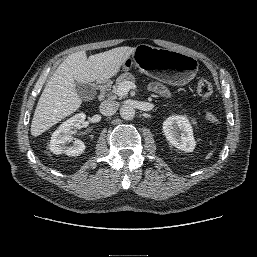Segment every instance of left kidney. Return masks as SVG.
<instances>
[{
  "label": "left kidney",
  "mask_w": 257,
  "mask_h": 257,
  "mask_svg": "<svg viewBox=\"0 0 257 257\" xmlns=\"http://www.w3.org/2000/svg\"><path fill=\"white\" fill-rule=\"evenodd\" d=\"M163 132L171 145L185 152H192L196 142L186 116L173 115L163 122Z\"/></svg>",
  "instance_id": "5707ae66"
}]
</instances>
